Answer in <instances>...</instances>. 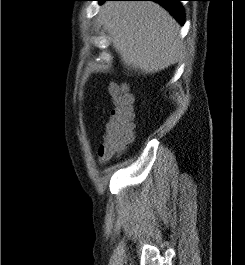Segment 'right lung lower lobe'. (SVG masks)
I'll use <instances>...</instances> for the list:
<instances>
[{
  "label": "right lung lower lobe",
  "instance_id": "obj_1",
  "mask_svg": "<svg viewBox=\"0 0 245 265\" xmlns=\"http://www.w3.org/2000/svg\"><path fill=\"white\" fill-rule=\"evenodd\" d=\"M101 4L110 0H97ZM126 1H154L165 7L181 24H184V11L180 4L183 0H126Z\"/></svg>",
  "mask_w": 245,
  "mask_h": 265
}]
</instances>
